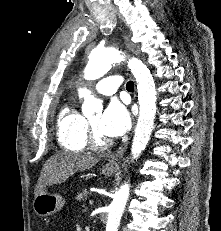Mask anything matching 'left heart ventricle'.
<instances>
[{
  "mask_svg": "<svg viewBox=\"0 0 221 231\" xmlns=\"http://www.w3.org/2000/svg\"><path fill=\"white\" fill-rule=\"evenodd\" d=\"M101 116L95 115L91 118H89V122L92 125V127L94 128V130L96 131V133L102 138V139H107V136L103 135L100 131H99V121H100Z\"/></svg>",
  "mask_w": 221,
  "mask_h": 231,
  "instance_id": "left-heart-ventricle-1",
  "label": "left heart ventricle"
}]
</instances>
